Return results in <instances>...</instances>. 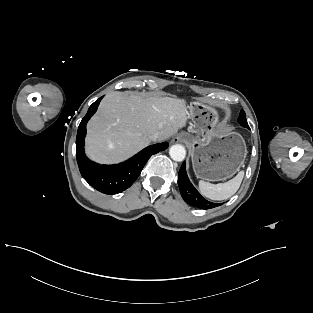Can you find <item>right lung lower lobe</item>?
Returning a JSON list of instances; mask_svg holds the SVG:
<instances>
[{"label":"right lung lower lobe","instance_id":"right-lung-lower-lobe-1","mask_svg":"<svg viewBox=\"0 0 313 313\" xmlns=\"http://www.w3.org/2000/svg\"><path fill=\"white\" fill-rule=\"evenodd\" d=\"M102 97L96 100L82 119L76 138V156L83 178L96 190L104 194H117L129 188L141 173L148 159L168 148V143L151 145L129 160L117 165H101L89 160L84 153L86 124L96 112Z\"/></svg>","mask_w":313,"mask_h":313}]
</instances>
